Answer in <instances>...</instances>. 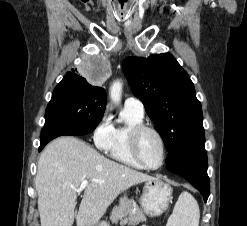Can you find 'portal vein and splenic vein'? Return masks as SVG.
I'll return each instance as SVG.
<instances>
[{"instance_id": "1", "label": "portal vein and splenic vein", "mask_w": 247, "mask_h": 226, "mask_svg": "<svg viewBox=\"0 0 247 226\" xmlns=\"http://www.w3.org/2000/svg\"><path fill=\"white\" fill-rule=\"evenodd\" d=\"M92 182L101 183L102 180H91ZM88 185V180H84L81 182L79 188L77 189V193L80 194V192Z\"/></svg>"}]
</instances>
